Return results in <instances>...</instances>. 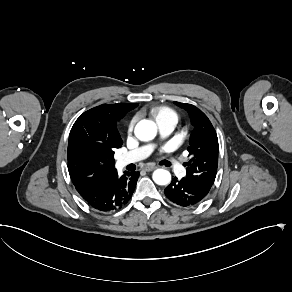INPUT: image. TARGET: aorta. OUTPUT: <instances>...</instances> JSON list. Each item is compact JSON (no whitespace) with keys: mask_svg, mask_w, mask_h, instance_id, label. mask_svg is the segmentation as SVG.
Here are the masks:
<instances>
[{"mask_svg":"<svg viewBox=\"0 0 292 292\" xmlns=\"http://www.w3.org/2000/svg\"><path fill=\"white\" fill-rule=\"evenodd\" d=\"M134 134L141 141L152 140L156 135L155 123L149 120L139 121L134 128ZM153 180L158 185H166L171 181V174L168 170L157 169L153 173Z\"/></svg>","mask_w":292,"mask_h":292,"instance_id":"aorta-1","label":"aorta"}]
</instances>
